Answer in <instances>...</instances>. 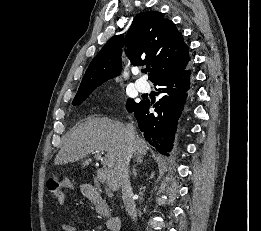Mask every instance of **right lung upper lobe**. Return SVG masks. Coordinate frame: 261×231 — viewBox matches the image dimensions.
I'll list each match as a JSON object with an SVG mask.
<instances>
[{
  "label": "right lung upper lobe",
  "mask_w": 261,
  "mask_h": 231,
  "mask_svg": "<svg viewBox=\"0 0 261 231\" xmlns=\"http://www.w3.org/2000/svg\"><path fill=\"white\" fill-rule=\"evenodd\" d=\"M122 35L112 37L90 63L78 94L93 92L121 71ZM128 55L134 66L151 65L149 79L183 71L190 65L189 48L175 24L160 12H143L134 18L126 35Z\"/></svg>",
  "instance_id": "right-lung-upper-lobe-1"
}]
</instances>
